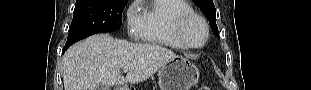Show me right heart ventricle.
<instances>
[{
	"mask_svg": "<svg viewBox=\"0 0 311 90\" xmlns=\"http://www.w3.org/2000/svg\"><path fill=\"white\" fill-rule=\"evenodd\" d=\"M193 8L185 0H154L142 13V40L173 49H186L175 34L177 19L192 13Z\"/></svg>",
	"mask_w": 311,
	"mask_h": 90,
	"instance_id": "e07e8e85",
	"label": "right heart ventricle"
}]
</instances>
